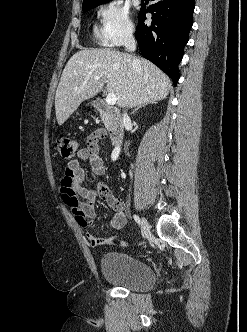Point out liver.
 <instances>
[{"mask_svg": "<svg viewBox=\"0 0 247 332\" xmlns=\"http://www.w3.org/2000/svg\"><path fill=\"white\" fill-rule=\"evenodd\" d=\"M104 82L107 91L116 95L117 105L130 108L163 100L171 88L169 77L146 59L110 49H83L62 72L55 95L58 124L102 91Z\"/></svg>", "mask_w": 247, "mask_h": 332, "instance_id": "obj_1", "label": "liver"}]
</instances>
